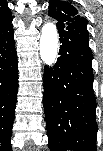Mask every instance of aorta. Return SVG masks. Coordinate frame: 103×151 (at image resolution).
Segmentation results:
<instances>
[{
    "label": "aorta",
    "instance_id": "obj_1",
    "mask_svg": "<svg viewBox=\"0 0 103 151\" xmlns=\"http://www.w3.org/2000/svg\"><path fill=\"white\" fill-rule=\"evenodd\" d=\"M39 47L42 61L52 66L56 62L59 47L57 28L52 22L42 27Z\"/></svg>",
    "mask_w": 103,
    "mask_h": 151
}]
</instances>
